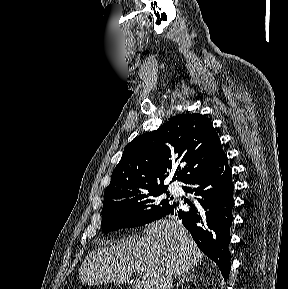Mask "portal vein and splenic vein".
<instances>
[{
	"mask_svg": "<svg viewBox=\"0 0 288 289\" xmlns=\"http://www.w3.org/2000/svg\"><path fill=\"white\" fill-rule=\"evenodd\" d=\"M133 289H141V283H140V280L137 279L133 282Z\"/></svg>",
	"mask_w": 288,
	"mask_h": 289,
	"instance_id": "portal-vein-and-splenic-vein-1",
	"label": "portal vein and splenic vein"
}]
</instances>
